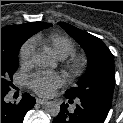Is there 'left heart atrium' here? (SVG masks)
Returning a JSON list of instances; mask_svg holds the SVG:
<instances>
[{
  "mask_svg": "<svg viewBox=\"0 0 123 123\" xmlns=\"http://www.w3.org/2000/svg\"><path fill=\"white\" fill-rule=\"evenodd\" d=\"M64 83V77L58 72L40 71L30 76L29 87L38 95L51 96Z\"/></svg>",
  "mask_w": 123,
  "mask_h": 123,
  "instance_id": "obj_1",
  "label": "left heart atrium"
}]
</instances>
